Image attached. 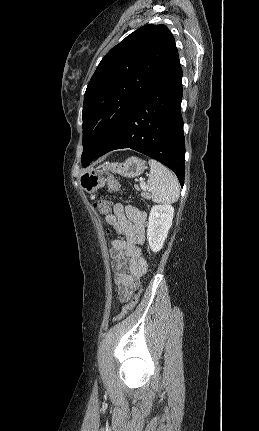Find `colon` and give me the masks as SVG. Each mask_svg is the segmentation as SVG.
I'll return each mask as SVG.
<instances>
[{"label":"colon","instance_id":"1","mask_svg":"<svg viewBox=\"0 0 259 431\" xmlns=\"http://www.w3.org/2000/svg\"><path fill=\"white\" fill-rule=\"evenodd\" d=\"M101 173L107 179L109 188L112 191H117L119 189V184L111 175L108 174L107 169L103 168L101 170ZM95 208L100 213H108L111 209V202L108 200L98 201L95 203ZM139 294H140V291L135 293L129 299V301L123 306L121 312L115 317V319H114L115 322H118V321L124 319L135 308V306L137 305L138 300H139Z\"/></svg>","mask_w":259,"mask_h":431}]
</instances>
